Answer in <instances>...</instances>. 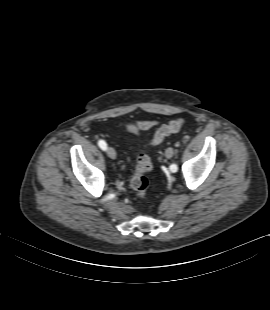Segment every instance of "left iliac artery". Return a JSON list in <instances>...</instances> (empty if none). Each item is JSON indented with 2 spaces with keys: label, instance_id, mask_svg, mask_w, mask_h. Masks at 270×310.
Listing matches in <instances>:
<instances>
[{
  "label": "left iliac artery",
  "instance_id": "44dca946",
  "mask_svg": "<svg viewBox=\"0 0 270 310\" xmlns=\"http://www.w3.org/2000/svg\"><path fill=\"white\" fill-rule=\"evenodd\" d=\"M177 169H178V167H177L176 164H172V165L170 166V170H171L172 172H176Z\"/></svg>",
  "mask_w": 270,
  "mask_h": 310
}]
</instances>
